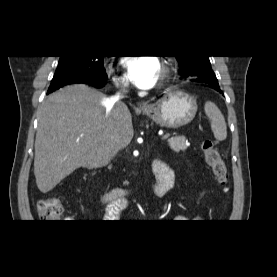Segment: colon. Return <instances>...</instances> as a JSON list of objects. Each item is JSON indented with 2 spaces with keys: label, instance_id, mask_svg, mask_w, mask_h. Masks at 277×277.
<instances>
[{
  "label": "colon",
  "instance_id": "5ec220e1",
  "mask_svg": "<svg viewBox=\"0 0 277 277\" xmlns=\"http://www.w3.org/2000/svg\"><path fill=\"white\" fill-rule=\"evenodd\" d=\"M201 149L205 161L212 169L216 180L222 187H225L227 184V167L219 150L211 140H205L201 145ZM37 208L39 217L47 222L57 220L63 213L61 202L54 197L40 200Z\"/></svg>",
  "mask_w": 277,
  "mask_h": 277
}]
</instances>
